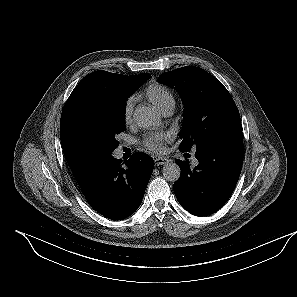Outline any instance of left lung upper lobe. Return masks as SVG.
I'll use <instances>...</instances> for the list:
<instances>
[{"instance_id": "obj_1", "label": "left lung upper lobe", "mask_w": 297, "mask_h": 297, "mask_svg": "<svg viewBox=\"0 0 297 297\" xmlns=\"http://www.w3.org/2000/svg\"><path fill=\"white\" fill-rule=\"evenodd\" d=\"M158 82L174 87L183 101L180 151L202 150L242 134L238 108L224 85L207 71L186 66L165 72Z\"/></svg>"}]
</instances>
